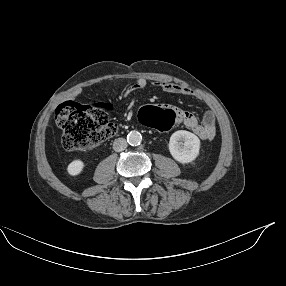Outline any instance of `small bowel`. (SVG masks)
Instances as JSON below:
<instances>
[{"label": "small bowel", "instance_id": "c3829d8e", "mask_svg": "<svg viewBox=\"0 0 286 286\" xmlns=\"http://www.w3.org/2000/svg\"><path fill=\"white\" fill-rule=\"evenodd\" d=\"M153 85L166 93L185 95L196 99L202 98V96L196 91L180 84L157 81ZM147 86V80L144 78H139L134 84L129 85L125 89V94L128 95L135 91L145 89ZM153 105L163 109H170V111H172L174 114V122L172 126L181 123L189 130L193 131L201 140L210 141L216 135V116L213 110H208L200 121L191 112L169 106L167 101L154 99Z\"/></svg>", "mask_w": 286, "mask_h": 286}]
</instances>
